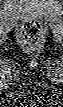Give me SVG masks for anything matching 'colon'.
Segmentation results:
<instances>
[{
	"label": "colon",
	"mask_w": 63,
	"mask_h": 107,
	"mask_svg": "<svg viewBox=\"0 0 63 107\" xmlns=\"http://www.w3.org/2000/svg\"><path fill=\"white\" fill-rule=\"evenodd\" d=\"M42 37L43 27L37 21L24 25L20 32L21 40L30 46H35Z\"/></svg>",
	"instance_id": "5ec220e1"
}]
</instances>
